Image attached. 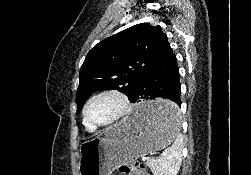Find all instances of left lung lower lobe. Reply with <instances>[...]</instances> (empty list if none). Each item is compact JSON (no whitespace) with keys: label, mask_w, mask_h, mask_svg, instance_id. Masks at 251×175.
I'll return each instance as SVG.
<instances>
[{"label":"left lung lower lobe","mask_w":251,"mask_h":175,"mask_svg":"<svg viewBox=\"0 0 251 175\" xmlns=\"http://www.w3.org/2000/svg\"><path fill=\"white\" fill-rule=\"evenodd\" d=\"M179 76L176 56L167 43L159 58L137 84L130 102L160 97L172 103L142 108L138 112L140 120L169 123L179 117L178 106H181Z\"/></svg>","instance_id":"1"}]
</instances>
